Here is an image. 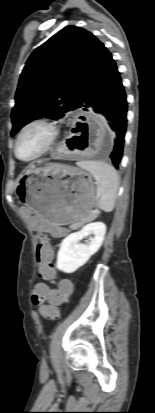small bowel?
Here are the masks:
<instances>
[{
    "mask_svg": "<svg viewBox=\"0 0 155 413\" xmlns=\"http://www.w3.org/2000/svg\"><path fill=\"white\" fill-rule=\"evenodd\" d=\"M18 212L23 218H28V224L32 231H50L54 236H62L65 233V230L60 228L59 222H48L47 218H42L40 214H35V211L31 209L29 205H20L18 207ZM55 278L56 275L46 280L54 285L56 283ZM54 290L56 289H53L49 284L38 283L34 286L33 294H36L43 299Z\"/></svg>",
    "mask_w": 155,
    "mask_h": 413,
    "instance_id": "small-bowel-1",
    "label": "small bowel"
}]
</instances>
